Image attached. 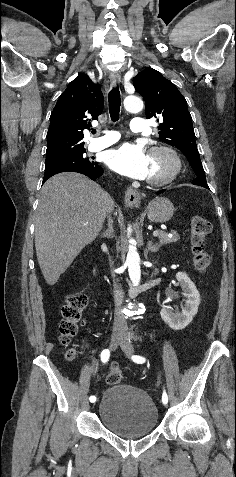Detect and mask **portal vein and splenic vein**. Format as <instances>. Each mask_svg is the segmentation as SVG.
<instances>
[{"label":"portal vein and splenic vein","instance_id":"obj_1","mask_svg":"<svg viewBox=\"0 0 236 477\" xmlns=\"http://www.w3.org/2000/svg\"><path fill=\"white\" fill-rule=\"evenodd\" d=\"M158 235H159V231H158V230H155V231L153 232V236H154V237H157Z\"/></svg>","mask_w":236,"mask_h":477}]
</instances>
